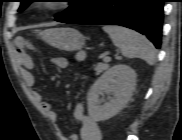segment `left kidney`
I'll use <instances>...</instances> for the list:
<instances>
[{"label":"left kidney","instance_id":"5707ae66","mask_svg":"<svg viewBox=\"0 0 182 140\" xmlns=\"http://www.w3.org/2000/svg\"><path fill=\"white\" fill-rule=\"evenodd\" d=\"M135 71L123 64L111 67L92 85L87 101L88 113L96 122L104 121L118 114L129 102L136 88ZM103 93L113 94L108 102L101 104Z\"/></svg>","mask_w":182,"mask_h":140}]
</instances>
